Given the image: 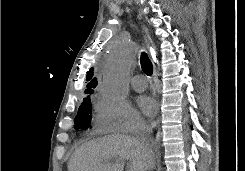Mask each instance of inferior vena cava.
I'll return each instance as SVG.
<instances>
[{"instance_id": "602c4592", "label": "inferior vena cava", "mask_w": 245, "mask_h": 171, "mask_svg": "<svg viewBox=\"0 0 245 171\" xmlns=\"http://www.w3.org/2000/svg\"><path fill=\"white\" fill-rule=\"evenodd\" d=\"M152 130L144 122H140L136 131V139L140 144L145 157L151 159L153 157V137L151 135Z\"/></svg>"}]
</instances>
